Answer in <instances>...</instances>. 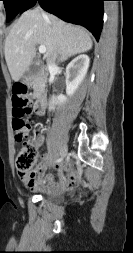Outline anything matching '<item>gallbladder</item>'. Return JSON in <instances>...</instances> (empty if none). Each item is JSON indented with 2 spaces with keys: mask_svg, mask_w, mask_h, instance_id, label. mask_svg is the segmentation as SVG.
<instances>
[{
  "mask_svg": "<svg viewBox=\"0 0 133 253\" xmlns=\"http://www.w3.org/2000/svg\"><path fill=\"white\" fill-rule=\"evenodd\" d=\"M38 70H39V67L36 65V63H33L30 65L28 70L25 72L24 77L32 79L37 75Z\"/></svg>",
  "mask_w": 133,
  "mask_h": 253,
  "instance_id": "gallbladder-1",
  "label": "gallbladder"
}]
</instances>
